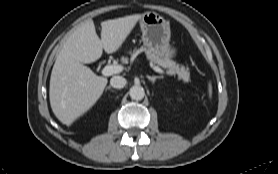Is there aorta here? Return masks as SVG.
<instances>
[{"label": "aorta", "instance_id": "obj_1", "mask_svg": "<svg viewBox=\"0 0 278 174\" xmlns=\"http://www.w3.org/2000/svg\"><path fill=\"white\" fill-rule=\"evenodd\" d=\"M129 95L133 100H142L145 96V91L142 86L134 85L130 88Z\"/></svg>", "mask_w": 278, "mask_h": 174}]
</instances>
